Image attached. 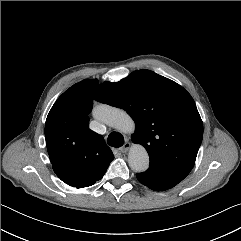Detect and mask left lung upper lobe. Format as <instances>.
Instances as JSON below:
<instances>
[{
	"mask_svg": "<svg viewBox=\"0 0 241 241\" xmlns=\"http://www.w3.org/2000/svg\"><path fill=\"white\" fill-rule=\"evenodd\" d=\"M95 99L127 111L136 124L132 141L143 145L150 167L185 178L203 138V123L191 95L150 70L99 85Z\"/></svg>",
	"mask_w": 241,
	"mask_h": 241,
	"instance_id": "obj_1",
	"label": "left lung upper lobe"
}]
</instances>
